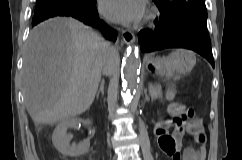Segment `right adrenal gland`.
I'll use <instances>...</instances> for the list:
<instances>
[{"label":"right adrenal gland","instance_id":"right-adrenal-gland-1","mask_svg":"<svg viewBox=\"0 0 242 160\" xmlns=\"http://www.w3.org/2000/svg\"><path fill=\"white\" fill-rule=\"evenodd\" d=\"M104 79H102L101 80V83H100V87H99V89H98V91H97V93H96V98L98 99L99 98V95H100V93L102 94V95H104Z\"/></svg>","mask_w":242,"mask_h":160}]
</instances>
